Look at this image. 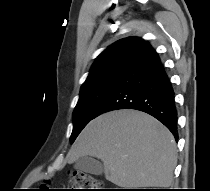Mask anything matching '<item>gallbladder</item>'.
<instances>
[{
    "instance_id": "1",
    "label": "gallbladder",
    "mask_w": 210,
    "mask_h": 191,
    "mask_svg": "<svg viewBox=\"0 0 210 191\" xmlns=\"http://www.w3.org/2000/svg\"><path fill=\"white\" fill-rule=\"evenodd\" d=\"M74 168L81 172H86L94 175L103 173V165L91 156L80 157L74 164Z\"/></svg>"
}]
</instances>
